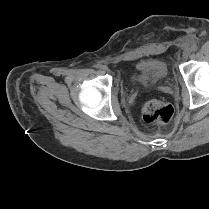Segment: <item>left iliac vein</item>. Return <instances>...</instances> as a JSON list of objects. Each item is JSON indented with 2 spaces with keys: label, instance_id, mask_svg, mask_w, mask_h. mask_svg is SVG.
Listing matches in <instances>:
<instances>
[{
  "label": "left iliac vein",
  "instance_id": "left-iliac-vein-1",
  "mask_svg": "<svg viewBox=\"0 0 209 209\" xmlns=\"http://www.w3.org/2000/svg\"><path fill=\"white\" fill-rule=\"evenodd\" d=\"M190 54H191V52H190L189 49L185 50V51L183 52V59H185V60L188 59L189 56H190Z\"/></svg>",
  "mask_w": 209,
  "mask_h": 209
}]
</instances>
